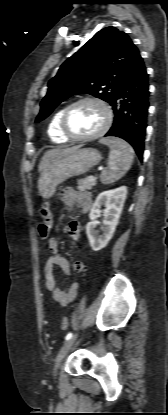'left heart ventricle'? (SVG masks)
I'll use <instances>...</instances> for the list:
<instances>
[{"label":"left heart ventricle","instance_id":"1","mask_svg":"<svg viewBox=\"0 0 168 415\" xmlns=\"http://www.w3.org/2000/svg\"><path fill=\"white\" fill-rule=\"evenodd\" d=\"M105 113L101 106L85 102L72 109L68 117V128L77 136H87L97 132L103 125Z\"/></svg>","mask_w":168,"mask_h":415}]
</instances>
